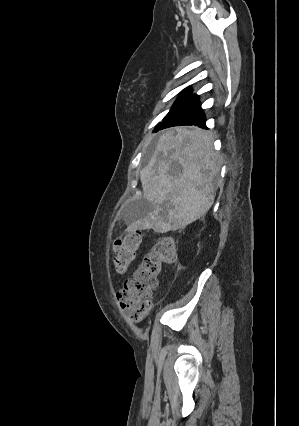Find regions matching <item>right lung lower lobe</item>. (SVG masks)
I'll use <instances>...</instances> for the list:
<instances>
[{"label":"right lung lower lobe","mask_w":299,"mask_h":426,"mask_svg":"<svg viewBox=\"0 0 299 426\" xmlns=\"http://www.w3.org/2000/svg\"><path fill=\"white\" fill-rule=\"evenodd\" d=\"M197 98V95H188L177 103L163 119V122L159 123L156 130L178 125H196L206 128L205 115Z\"/></svg>","instance_id":"1"}]
</instances>
